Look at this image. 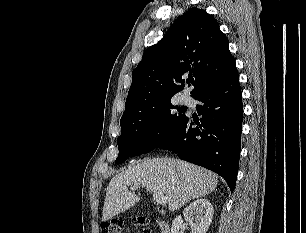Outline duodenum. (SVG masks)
Instances as JSON below:
<instances>
[{"instance_id": "1", "label": "duodenum", "mask_w": 306, "mask_h": 233, "mask_svg": "<svg viewBox=\"0 0 306 233\" xmlns=\"http://www.w3.org/2000/svg\"><path fill=\"white\" fill-rule=\"evenodd\" d=\"M156 221H157V224L160 228L161 233H169V225L166 221H164L160 218H157Z\"/></svg>"}]
</instances>
